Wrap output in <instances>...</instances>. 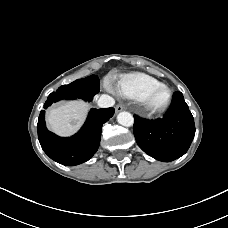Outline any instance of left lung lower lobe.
<instances>
[{
	"mask_svg": "<svg viewBox=\"0 0 228 228\" xmlns=\"http://www.w3.org/2000/svg\"><path fill=\"white\" fill-rule=\"evenodd\" d=\"M133 132L139 147L151 157L170 162L184 155L195 135L194 119L181 92H175L163 118L134 115Z\"/></svg>",
	"mask_w": 228,
	"mask_h": 228,
	"instance_id": "0a47b994",
	"label": "left lung lower lobe"
}]
</instances>
